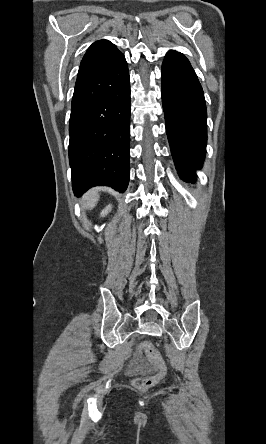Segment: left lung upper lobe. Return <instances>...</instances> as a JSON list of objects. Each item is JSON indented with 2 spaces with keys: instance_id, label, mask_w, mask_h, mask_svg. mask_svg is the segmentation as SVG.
<instances>
[{
  "instance_id": "left-lung-upper-lobe-1",
  "label": "left lung upper lobe",
  "mask_w": 266,
  "mask_h": 444,
  "mask_svg": "<svg viewBox=\"0 0 266 444\" xmlns=\"http://www.w3.org/2000/svg\"><path fill=\"white\" fill-rule=\"evenodd\" d=\"M170 52H173V53H176V54H181V53H179V52H176V51H170ZM181 55H183V54H181Z\"/></svg>"
}]
</instances>
